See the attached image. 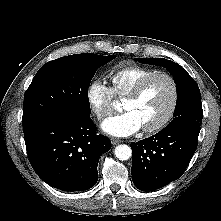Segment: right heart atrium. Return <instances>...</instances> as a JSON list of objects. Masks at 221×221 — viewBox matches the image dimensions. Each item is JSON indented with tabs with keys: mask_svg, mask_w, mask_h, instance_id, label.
I'll return each mask as SVG.
<instances>
[{
	"mask_svg": "<svg viewBox=\"0 0 221 221\" xmlns=\"http://www.w3.org/2000/svg\"><path fill=\"white\" fill-rule=\"evenodd\" d=\"M86 100L98 120L105 119L113 110V93L99 80L92 81L86 89Z\"/></svg>",
	"mask_w": 221,
	"mask_h": 221,
	"instance_id": "1",
	"label": "right heart atrium"
}]
</instances>
